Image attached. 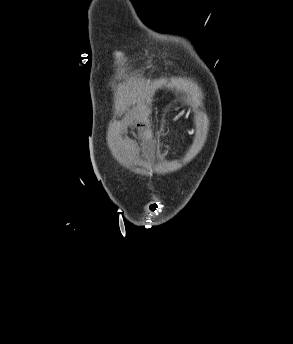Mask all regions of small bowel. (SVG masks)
<instances>
[{"instance_id":"c3829d8e","label":"small bowel","mask_w":293,"mask_h":344,"mask_svg":"<svg viewBox=\"0 0 293 344\" xmlns=\"http://www.w3.org/2000/svg\"><path fill=\"white\" fill-rule=\"evenodd\" d=\"M141 143L147 147L150 148L153 144V132L150 129H145L142 133H141Z\"/></svg>"}]
</instances>
